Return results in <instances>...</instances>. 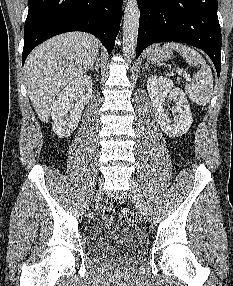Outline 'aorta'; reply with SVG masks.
<instances>
[{"label": "aorta", "mask_w": 233, "mask_h": 286, "mask_svg": "<svg viewBox=\"0 0 233 286\" xmlns=\"http://www.w3.org/2000/svg\"><path fill=\"white\" fill-rule=\"evenodd\" d=\"M140 10L137 0H127L123 21V54L133 58L136 52Z\"/></svg>", "instance_id": "aorta-1"}]
</instances>
